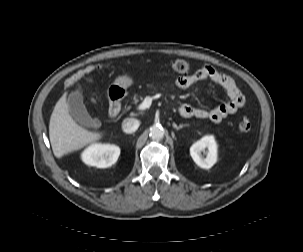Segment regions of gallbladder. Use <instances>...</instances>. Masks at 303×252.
I'll return each instance as SVG.
<instances>
[{
    "label": "gallbladder",
    "mask_w": 303,
    "mask_h": 252,
    "mask_svg": "<svg viewBox=\"0 0 303 252\" xmlns=\"http://www.w3.org/2000/svg\"><path fill=\"white\" fill-rule=\"evenodd\" d=\"M70 113L73 119L83 127H89L92 123V118L87 112L83 103L82 95L79 93H72L68 99Z\"/></svg>",
    "instance_id": "1"
}]
</instances>
